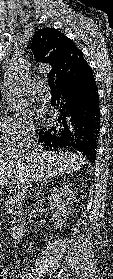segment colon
<instances>
[{
    "label": "colon",
    "instance_id": "1",
    "mask_svg": "<svg viewBox=\"0 0 113 279\" xmlns=\"http://www.w3.org/2000/svg\"><path fill=\"white\" fill-rule=\"evenodd\" d=\"M0 276H1V265H0Z\"/></svg>",
    "mask_w": 113,
    "mask_h": 279
}]
</instances>
